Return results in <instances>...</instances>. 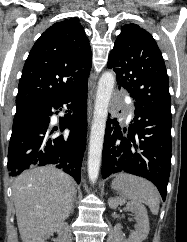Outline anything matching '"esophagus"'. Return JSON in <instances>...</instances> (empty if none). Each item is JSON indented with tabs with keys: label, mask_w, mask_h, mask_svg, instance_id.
I'll use <instances>...</instances> for the list:
<instances>
[{
	"label": "esophagus",
	"mask_w": 187,
	"mask_h": 242,
	"mask_svg": "<svg viewBox=\"0 0 187 242\" xmlns=\"http://www.w3.org/2000/svg\"><path fill=\"white\" fill-rule=\"evenodd\" d=\"M88 105H89L88 112H89V115H90L91 114V99H90V97L88 99Z\"/></svg>",
	"instance_id": "1"
}]
</instances>
